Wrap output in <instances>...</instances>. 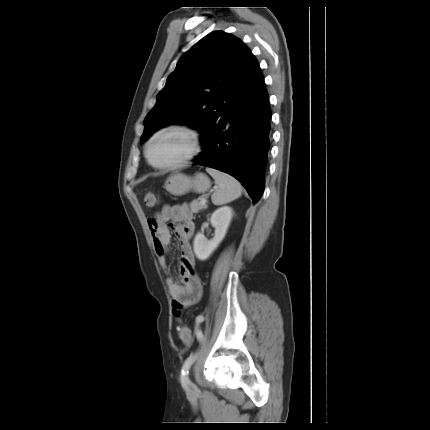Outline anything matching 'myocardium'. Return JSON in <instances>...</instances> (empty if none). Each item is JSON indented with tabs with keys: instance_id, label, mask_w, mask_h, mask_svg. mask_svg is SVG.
<instances>
[{
	"instance_id": "myocardium-1",
	"label": "myocardium",
	"mask_w": 430,
	"mask_h": 430,
	"mask_svg": "<svg viewBox=\"0 0 430 430\" xmlns=\"http://www.w3.org/2000/svg\"><path fill=\"white\" fill-rule=\"evenodd\" d=\"M169 131H181V132H184L187 135H189V137L191 138V149L187 155H185L183 158H181L180 160H178L174 163H171L168 165L156 164L152 161V159L150 157V153H149L150 147L157 137H159L160 135H162L166 132H169ZM200 152H201L200 134L194 128L187 126V125H183V124H172V125H169V126H166L164 128L159 129L148 139V141L145 145V149H144V154H145V158H146L147 162L152 167L159 169V170H172V169L179 168V167L189 163L194 158H196L200 154Z\"/></svg>"
}]
</instances>
